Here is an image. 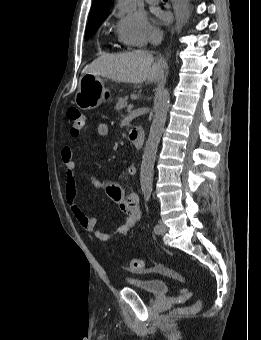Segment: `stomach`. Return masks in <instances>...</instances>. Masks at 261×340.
<instances>
[{"label": "stomach", "instance_id": "obj_1", "mask_svg": "<svg viewBox=\"0 0 261 340\" xmlns=\"http://www.w3.org/2000/svg\"><path fill=\"white\" fill-rule=\"evenodd\" d=\"M112 100L113 94L100 76L89 73L81 76L75 94V103L80 109L91 110Z\"/></svg>", "mask_w": 261, "mask_h": 340}]
</instances>
